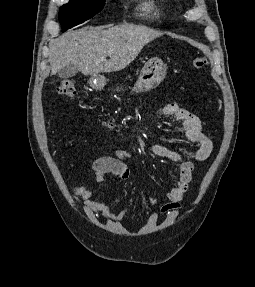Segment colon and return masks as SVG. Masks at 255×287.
<instances>
[{
	"instance_id": "1",
	"label": "colon",
	"mask_w": 255,
	"mask_h": 287,
	"mask_svg": "<svg viewBox=\"0 0 255 287\" xmlns=\"http://www.w3.org/2000/svg\"><path fill=\"white\" fill-rule=\"evenodd\" d=\"M207 65L208 61L203 57H196L192 60V66L196 70H201ZM57 91L60 95L74 98L77 94L74 80L70 77L62 79L57 86Z\"/></svg>"
}]
</instances>
